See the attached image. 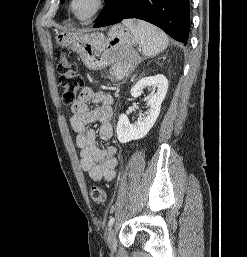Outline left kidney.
Instances as JSON below:
<instances>
[{"label":"left kidney","mask_w":247,"mask_h":257,"mask_svg":"<svg viewBox=\"0 0 247 257\" xmlns=\"http://www.w3.org/2000/svg\"><path fill=\"white\" fill-rule=\"evenodd\" d=\"M156 87V92L151 94L147 100L149 108L146 115L139 118L135 124H130L128 117L121 114L117 123L116 133L119 142L127 143L131 140H138L147 135L160 114L161 104L168 90V80L162 75L144 77L140 79L131 89L133 97H139L146 87Z\"/></svg>","instance_id":"obj_1"}]
</instances>
